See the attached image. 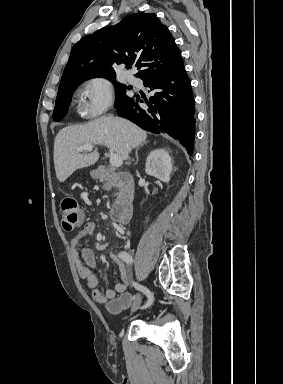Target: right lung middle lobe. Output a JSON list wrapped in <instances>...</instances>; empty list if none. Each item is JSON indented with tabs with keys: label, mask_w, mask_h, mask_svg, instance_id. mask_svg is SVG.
<instances>
[{
	"label": "right lung middle lobe",
	"mask_w": 283,
	"mask_h": 384,
	"mask_svg": "<svg viewBox=\"0 0 283 384\" xmlns=\"http://www.w3.org/2000/svg\"><path fill=\"white\" fill-rule=\"evenodd\" d=\"M109 80L115 84V89H116L115 104L122 101L123 99H127L128 97L125 96V92H126V89H129V88H127L123 84H119L115 82V79H109ZM80 84L81 83H69V84H63L59 86L55 109L53 113L54 121H60L66 115L68 106L71 103V97L73 95V92L77 89V87Z\"/></svg>",
	"instance_id": "right-lung-middle-lobe-1"
}]
</instances>
